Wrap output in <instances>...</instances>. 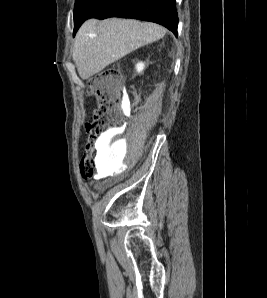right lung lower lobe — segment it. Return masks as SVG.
I'll use <instances>...</instances> for the list:
<instances>
[{
  "mask_svg": "<svg viewBox=\"0 0 267 298\" xmlns=\"http://www.w3.org/2000/svg\"><path fill=\"white\" fill-rule=\"evenodd\" d=\"M109 17L155 22L165 26L177 36L178 14L175 0H102L88 18ZM80 25L74 28V35Z\"/></svg>",
  "mask_w": 267,
  "mask_h": 298,
  "instance_id": "obj_1",
  "label": "right lung lower lobe"
}]
</instances>
